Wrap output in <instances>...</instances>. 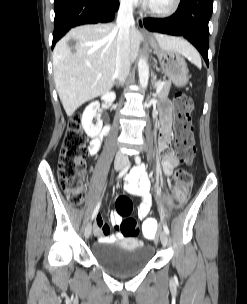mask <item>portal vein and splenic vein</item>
Listing matches in <instances>:
<instances>
[{
	"instance_id": "18ae733b",
	"label": "portal vein and splenic vein",
	"mask_w": 247,
	"mask_h": 304,
	"mask_svg": "<svg viewBox=\"0 0 247 304\" xmlns=\"http://www.w3.org/2000/svg\"><path fill=\"white\" fill-rule=\"evenodd\" d=\"M163 84H164V81L159 83L158 88H157V93L160 91V89L162 88Z\"/></svg>"
}]
</instances>
